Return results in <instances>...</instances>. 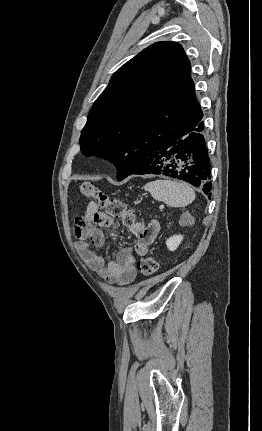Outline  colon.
<instances>
[{
  "label": "colon",
  "instance_id": "1",
  "mask_svg": "<svg viewBox=\"0 0 262 431\" xmlns=\"http://www.w3.org/2000/svg\"><path fill=\"white\" fill-rule=\"evenodd\" d=\"M80 193L83 197L93 200L109 217L123 220L128 225L138 222L133 209L127 207L122 200L109 196L93 183H83ZM137 268L141 275L152 276L158 270V261L153 256H146L139 260Z\"/></svg>",
  "mask_w": 262,
  "mask_h": 431
}]
</instances>
